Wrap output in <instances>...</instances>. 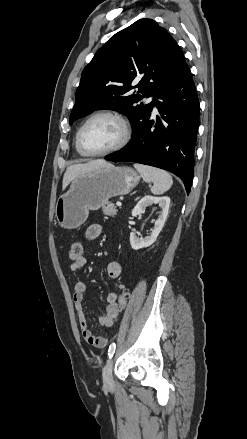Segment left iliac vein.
Returning <instances> with one entry per match:
<instances>
[{"mask_svg":"<svg viewBox=\"0 0 247 439\" xmlns=\"http://www.w3.org/2000/svg\"><path fill=\"white\" fill-rule=\"evenodd\" d=\"M112 370H113V359H109L107 364L105 365L103 369V384L104 387L110 388L113 384V377H112Z\"/></svg>","mask_w":247,"mask_h":439,"instance_id":"1","label":"left iliac vein"}]
</instances>
